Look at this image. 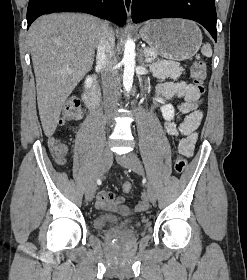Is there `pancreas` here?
Wrapping results in <instances>:
<instances>
[{"mask_svg": "<svg viewBox=\"0 0 247 280\" xmlns=\"http://www.w3.org/2000/svg\"><path fill=\"white\" fill-rule=\"evenodd\" d=\"M144 53L151 54L152 58L157 57L155 51L149 47L144 49ZM148 67L153 75L158 79L171 78L176 80L180 77L182 71L184 70L179 63L159 59L157 61L151 62Z\"/></svg>", "mask_w": 247, "mask_h": 280, "instance_id": "cf45deb5", "label": "pancreas"}]
</instances>
